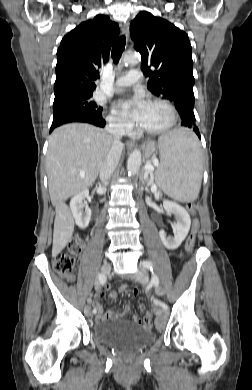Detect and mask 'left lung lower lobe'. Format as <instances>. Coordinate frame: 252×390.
Listing matches in <instances>:
<instances>
[{"label":"left lung lower lobe","mask_w":252,"mask_h":390,"mask_svg":"<svg viewBox=\"0 0 252 390\" xmlns=\"http://www.w3.org/2000/svg\"><path fill=\"white\" fill-rule=\"evenodd\" d=\"M182 122L181 125L184 127L192 128L195 133L200 137L199 130L196 126V120H195V115L194 112L192 113L190 110H183L182 113H180Z\"/></svg>","instance_id":"1"}]
</instances>
